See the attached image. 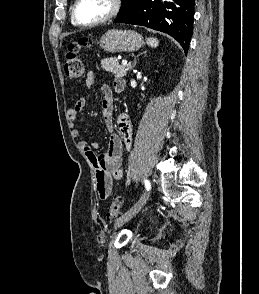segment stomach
Here are the masks:
<instances>
[{
  "label": "stomach",
  "instance_id": "0dacf381",
  "mask_svg": "<svg viewBox=\"0 0 259 294\" xmlns=\"http://www.w3.org/2000/svg\"><path fill=\"white\" fill-rule=\"evenodd\" d=\"M144 44L142 36L130 30L112 29L100 39V47L109 53L134 52Z\"/></svg>",
  "mask_w": 259,
  "mask_h": 294
}]
</instances>
